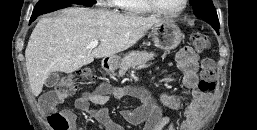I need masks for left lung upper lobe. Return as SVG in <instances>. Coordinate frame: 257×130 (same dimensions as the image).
Returning <instances> with one entry per match:
<instances>
[{
  "instance_id": "1",
  "label": "left lung upper lobe",
  "mask_w": 257,
  "mask_h": 130,
  "mask_svg": "<svg viewBox=\"0 0 257 130\" xmlns=\"http://www.w3.org/2000/svg\"><path fill=\"white\" fill-rule=\"evenodd\" d=\"M194 14L212 24L214 29L219 28V20L212 0H190Z\"/></svg>"
}]
</instances>
